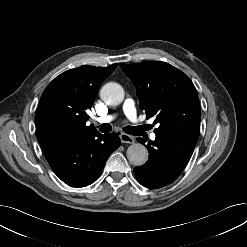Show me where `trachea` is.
<instances>
[{"label":"trachea","instance_id":"trachea-1","mask_svg":"<svg viewBox=\"0 0 247 247\" xmlns=\"http://www.w3.org/2000/svg\"><path fill=\"white\" fill-rule=\"evenodd\" d=\"M99 130L103 133H108L112 130V127L111 125L109 124H102L100 127H99ZM123 130L128 133V134H132L134 135V133L136 132L137 128L136 127H132V126H126L123 128Z\"/></svg>","mask_w":247,"mask_h":247}]
</instances>
